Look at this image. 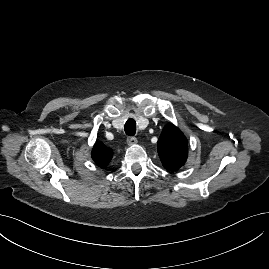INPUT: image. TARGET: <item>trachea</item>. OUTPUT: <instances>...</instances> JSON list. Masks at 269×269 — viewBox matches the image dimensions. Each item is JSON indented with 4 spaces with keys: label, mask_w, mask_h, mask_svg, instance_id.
<instances>
[{
    "label": "trachea",
    "mask_w": 269,
    "mask_h": 269,
    "mask_svg": "<svg viewBox=\"0 0 269 269\" xmlns=\"http://www.w3.org/2000/svg\"><path fill=\"white\" fill-rule=\"evenodd\" d=\"M124 130L127 135L134 136L136 133V121L134 119H128L125 123Z\"/></svg>",
    "instance_id": "trachea-1"
}]
</instances>
